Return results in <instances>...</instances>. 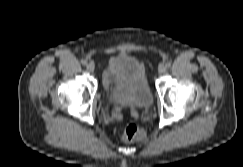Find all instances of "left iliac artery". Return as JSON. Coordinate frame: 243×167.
<instances>
[{
    "instance_id": "1",
    "label": "left iliac artery",
    "mask_w": 243,
    "mask_h": 167,
    "mask_svg": "<svg viewBox=\"0 0 243 167\" xmlns=\"http://www.w3.org/2000/svg\"><path fill=\"white\" fill-rule=\"evenodd\" d=\"M167 68H169L171 66V63L170 62H167L166 65H165Z\"/></svg>"
}]
</instances>
